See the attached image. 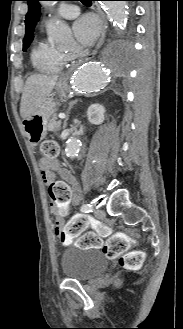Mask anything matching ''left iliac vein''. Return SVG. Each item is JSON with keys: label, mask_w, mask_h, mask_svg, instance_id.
Here are the masks:
<instances>
[{"label": "left iliac vein", "mask_w": 183, "mask_h": 329, "mask_svg": "<svg viewBox=\"0 0 183 329\" xmlns=\"http://www.w3.org/2000/svg\"><path fill=\"white\" fill-rule=\"evenodd\" d=\"M94 215H95V217H97L99 219H102L105 217V213L102 209L95 210Z\"/></svg>", "instance_id": "1"}]
</instances>
